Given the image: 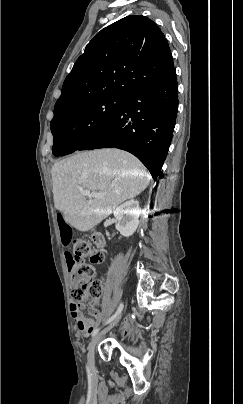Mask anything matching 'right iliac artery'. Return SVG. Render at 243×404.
Segmentation results:
<instances>
[{"instance_id":"obj_1","label":"right iliac artery","mask_w":243,"mask_h":404,"mask_svg":"<svg viewBox=\"0 0 243 404\" xmlns=\"http://www.w3.org/2000/svg\"><path fill=\"white\" fill-rule=\"evenodd\" d=\"M122 309H123V303H121V304L119 305V307H118L116 313L113 314V315L106 321L105 324H108V323L112 322V321L121 313ZM99 330H100V328L95 329V330L92 332V337H94V336L99 332ZM87 372H88V374H90V369H89L88 366H87Z\"/></svg>"}]
</instances>
